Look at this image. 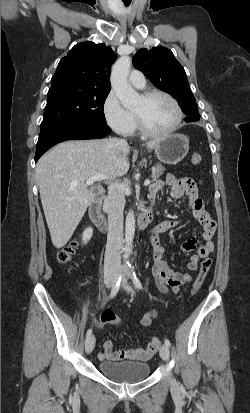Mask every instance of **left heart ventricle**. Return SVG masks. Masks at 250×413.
I'll list each match as a JSON object with an SVG mask.
<instances>
[{
    "instance_id": "obj_1",
    "label": "left heart ventricle",
    "mask_w": 250,
    "mask_h": 413,
    "mask_svg": "<svg viewBox=\"0 0 250 413\" xmlns=\"http://www.w3.org/2000/svg\"><path fill=\"white\" fill-rule=\"evenodd\" d=\"M135 112L140 113L147 127L154 132H165L175 123L177 113L173 104L165 97L157 95L149 100L141 98Z\"/></svg>"
}]
</instances>
